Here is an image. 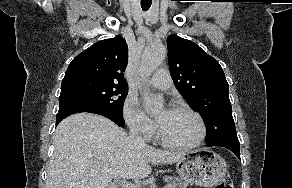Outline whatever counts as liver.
Segmentation results:
<instances>
[{
    "instance_id": "1",
    "label": "liver",
    "mask_w": 292,
    "mask_h": 188,
    "mask_svg": "<svg viewBox=\"0 0 292 188\" xmlns=\"http://www.w3.org/2000/svg\"><path fill=\"white\" fill-rule=\"evenodd\" d=\"M183 156L135 145L109 119L77 113L56 128L46 188H112L113 178L144 179L151 174L150 163L172 164Z\"/></svg>"
}]
</instances>
